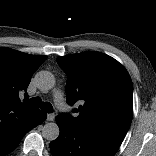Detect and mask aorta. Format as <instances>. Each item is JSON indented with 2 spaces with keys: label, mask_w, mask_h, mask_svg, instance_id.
I'll return each mask as SVG.
<instances>
[{
  "label": "aorta",
  "mask_w": 156,
  "mask_h": 156,
  "mask_svg": "<svg viewBox=\"0 0 156 156\" xmlns=\"http://www.w3.org/2000/svg\"><path fill=\"white\" fill-rule=\"evenodd\" d=\"M37 87L41 91H48L55 85V78L51 72L40 71L35 76ZM60 133L59 127L55 122H48L42 128V136L48 141H54Z\"/></svg>",
  "instance_id": "obj_1"
}]
</instances>
